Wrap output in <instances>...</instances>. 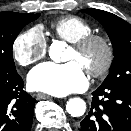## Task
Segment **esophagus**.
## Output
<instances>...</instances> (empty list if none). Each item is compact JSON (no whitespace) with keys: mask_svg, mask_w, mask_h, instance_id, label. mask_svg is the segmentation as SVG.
I'll list each match as a JSON object with an SVG mask.
<instances>
[{"mask_svg":"<svg viewBox=\"0 0 131 131\" xmlns=\"http://www.w3.org/2000/svg\"><path fill=\"white\" fill-rule=\"evenodd\" d=\"M35 96H36L37 99H49V98H51L50 95L45 94V93H37Z\"/></svg>","mask_w":131,"mask_h":131,"instance_id":"esophagus-1","label":"esophagus"}]
</instances>
